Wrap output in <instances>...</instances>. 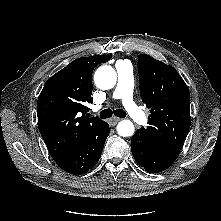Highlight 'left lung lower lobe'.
<instances>
[{
	"mask_svg": "<svg viewBox=\"0 0 221 221\" xmlns=\"http://www.w3.org/2000/svg\"><path fill=\"white\" fill-rule=\"evenodd\" d=\"M131 150L135 161L147 172L158 173L167 169L179 153L165 151L136 131L131 140Z\"/></svg>",
	"mask_w": 221,
	"mask_h": 221,
	"instance_id": "obj_1",
	"label": "left lung lower lobe"
}]
</instances>
